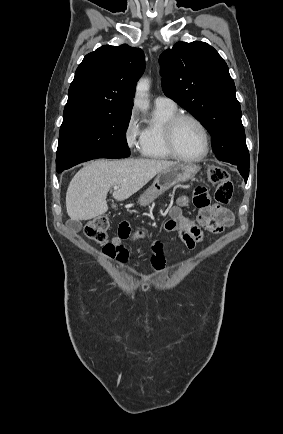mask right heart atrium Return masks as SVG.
I'll use <instances>...</instances> for the list:
<instances>
[{
  "mask_svg": "<svg viewBox=\"0 0 283 434\" xmlns=\"http://www.w3.org/2000/svg\"><path fill=\"white\" fill-rule=\"evenodd\" d=\"M126 146L130 150L140 148L142 140V130L138 125V121L134 112H131L124 127L123 132Z\"/></svg>",
  "mask_w": 283,
  "mask_h": 434,
  "instance_id": "1",
  "label": "right heart atrium"
}]
</instances>
